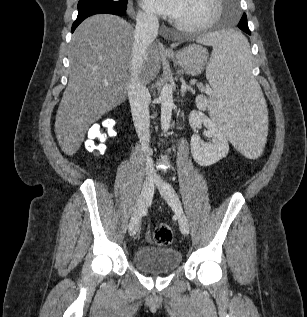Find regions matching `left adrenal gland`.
Returning <instances> with one entry per match:
<instances>
[{
    "instance_id": "a2214340",
    "label": "left adrenal gland",
    "mask_w": 307,
    "mask_h": 317,
    "mask_svg": "<svg viewBox=\"0 0 307 317\" xmlns=\"http://www.w3.org/2000/svg\"><path fill=\"white\" fill-rule=\"evenodd\" d=\"M187 92H190L191 94H194L195 91L193 90V88L190 86V85H187L185 80L182 78L181 79V89H180V93H181V96L184 97V95L187 93Z\"/></svg>"
}]
</instances>
